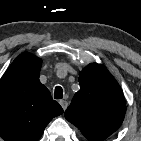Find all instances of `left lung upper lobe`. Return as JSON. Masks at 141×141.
I'll return each instance as SVG.
<instances>
[{"label": "left lung upper lobe", "mask_w": 141, "mask_h": 141, "mask_svg": "<svg viewBox=\"0 0 141 141\" xmlns=\"http://www.w3.org/2000/svg\"><path fill=\"white\" fill-rule=\"evenodd\" d=\"M80 90L65 112L90 141H103L122 124L126 104L121 87L100 64L84 68L79 76Z\"/></svg>", "instance_id": "obj_1"}]
</instances>
